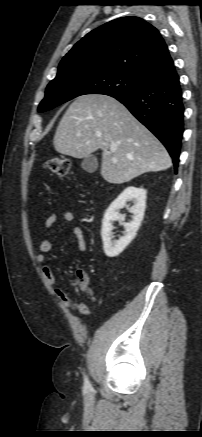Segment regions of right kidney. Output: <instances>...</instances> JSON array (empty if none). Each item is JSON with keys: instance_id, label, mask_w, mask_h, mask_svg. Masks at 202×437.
Masks as SVG:
<instances>
[{"instance_id": "ca27d5eb", "label": "right kidney", "mask_w": 202, "mask_h": 437, "mask_svg": "<svg viewBox=\"0 0 202 437\" xmlns=\"http://www.w3.org/2000/svg\"><path fill=\"white\" fill-rule=\"evenodd\" d=\"M132 201L133 206L129 212L133 214L129 223H123L125 232L119 240H112L113 222L124 221L125 216L119 213L127 202ZM146 208V190L130 186L126 188L108 207L102 221L101 236L103 240V249L108 257H116L131 243L135 238L141 222L144 217Z\"/></svg>"}]
</instances>
